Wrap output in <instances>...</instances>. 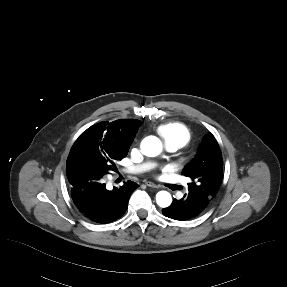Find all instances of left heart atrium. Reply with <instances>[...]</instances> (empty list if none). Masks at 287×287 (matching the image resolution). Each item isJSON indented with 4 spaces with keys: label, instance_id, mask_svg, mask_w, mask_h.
<instances>
[{
    "label": "left heart atrium",
    "instance_id": "left-heart-atrium-1",
    "mask_svg": "<svg viewBox=\"0 0 287 287\" xmlns=\"http://www.w3.org/2000/svg\"><path fill=\"white\" fill-rule=\"evenodd\" d=\"M162 171H163L164 173H167V172L170 171V169H169L168 167H163V168H162Z\"/></svg>",
    "mask_w": 287,
    "mask_h": 287
}]
</instances>
